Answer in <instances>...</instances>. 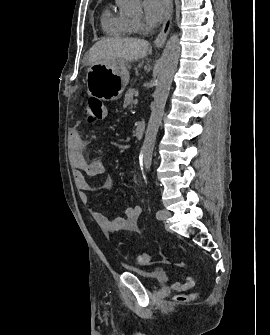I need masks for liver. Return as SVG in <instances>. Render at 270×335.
I'll return each instance as SVG.
<instances>
[{
    "label": "liver",
    "mask_w": 270,
    "mask_h": 335,
    "mask_svg": "<svg viewBox=\"0 0 270 335\" xmlns=\"http://www.w3.org/2000/svg\"><path fill=\"white\" fill-rule=\"evenodd\" d=\"M150 44L137 38H102L88 52V62L114 66L117 60H140L147 56Z\"/></svg>",
    "instance_id": "6515ba94"
}]
</instances>
